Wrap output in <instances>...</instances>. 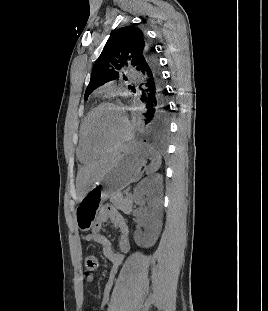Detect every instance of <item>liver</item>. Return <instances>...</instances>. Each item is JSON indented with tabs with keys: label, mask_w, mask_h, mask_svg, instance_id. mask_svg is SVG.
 Returning <instances> with one entry per match:
<instances>
[{
	"label": "liver",
	"mask_w": 268,
	"mask_h": 311,
	"mask_svg": "<svg viewBox=\"0 0 268 311\" xmlns=\"http://www.w3.org/2000/svg\"><path fill=\"white\" fill-rule=\"evenodd\" d=\"M117 155L99 160L96 163L85 166L77 174V187L80 191V199L89 190L91 185L102 178Z\"/></svg>",
	"instance_id": "obj_1"
}]
</instances>
